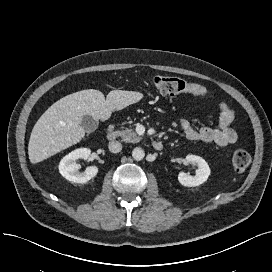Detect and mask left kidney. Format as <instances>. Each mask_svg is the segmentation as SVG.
<instances>
[{
    "label": "left kidney",
    "mask_w": 272,
    "mask_h": 272,
    "mask_svg": "<svg viewBox=\"0 0 272 272\" xmlns=\"http://www.w3.org/2000/svg\"><path fill=\"white\" fill-rule=\"evenodd\" d=\"M185 159L189 163L196 164L198 169L194 176L180 172L178 175L180 184L186 187H196L206 182L210 175L208 163L202 157L192 154L187 155Z\"/></svg>",
    "instance_id": "1"
}]
</instances>
